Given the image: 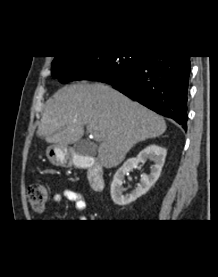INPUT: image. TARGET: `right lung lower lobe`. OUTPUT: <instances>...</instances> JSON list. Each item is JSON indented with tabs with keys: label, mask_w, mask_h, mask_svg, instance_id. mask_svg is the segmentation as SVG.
<instances>
[{
	"label": "right lung lower lobe",
	"mask_w": 218,
	"mask_h": 277,
	"mask_svg": "<svg viewBox=\"0 0 218 277\" xmlns=\"http://www.w3.org/2000/svg\"><path fill=\"white\" fill-rule=\"evenodd\" d=\"M191 70L189 56H143L123 80H104L126 96L187 128V94Z\"/></svg>",
	"instance_id": "right-lung-lower-lobe-1"
}]
</instances>
